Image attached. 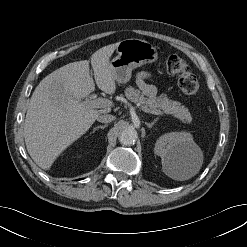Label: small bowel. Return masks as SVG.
<instances>
[{
  "instance_id": "obj_1",
  "label": "small bowel",
  "mask_w": 247,
  "mask_h": 247,
  "mask_svg": "<svg viewBox=\"0 0 247 247\" xmlns=\"http://www.w3.org/2000/svg\"><path fill=\"white\" fill-rule=\"evenodd\" d=\"M151 77V74L149 72H140L137 75V85L140 88V90L147 96V97H155L157 94L156 88L147 83V79Z\"/></svg>"
}]
</instances>
